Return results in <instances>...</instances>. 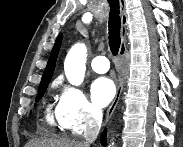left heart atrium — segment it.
<instances>
[{
	"instance_id": "obj_1",
	"label": "left heart atrium",
	"mask_w": 183,
	"mask_h": 147,
	"mask_svg": "<svg viewBox=\"0 0 183 147\" xmlns=\"http://www.w3.org/2000/svg\"><path fill=\"white\" fill-rule=\"evenodd\" d=\"M91 98L97 107H105L115 96L114 82L108 77L96 78L90 88Z\"/></svg>"
}]
</instances>
